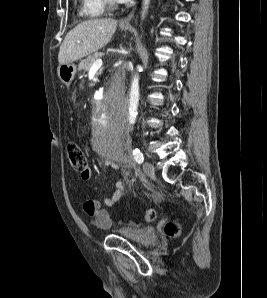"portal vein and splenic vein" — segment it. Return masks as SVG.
<instances>
[{
	"instance_id": "portal-vein-and-splenic-vein-1",
	"label": "portal vein and splenic vein",
	"mask_w": 267,
	"mask_h": 298,
	"mask_svg": "<svg viewBox=\"0 0 267 298\" xmlns=\"http://www.w3.org/2000/svg\"><path fill=\"white\" fill-rule=\"evenodd\" d=\"M78 42H80V41H78ZM101 66H102V59L99 58V59H97L96 61H94V63L92 64L91 69L98 70V69L101 68Z\"/></svg>"
}]
</instances>
